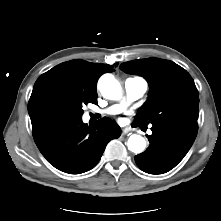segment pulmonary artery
<instances>
[{
	"label": "pulmonary artery",
	"mask_w": 221,
	"mask_h": 221,
	"mask_svg": "<svg viewBox=\"0 0 221 221\" xmlns=\"http://www.w3.org/2000/svg\"><path fill=\"white\" fill-rule=\"evenodd\" d=\"M124 89L129 101H135L143 97L147 91L146 81L140 78H128L124 83ZM124 109L123 105H113L104 112L107 114H117Z\"/></svg>",
	"instance_id": "e3ab8cb5"
}]
</instances>
